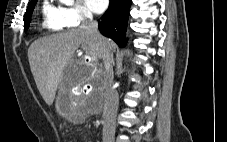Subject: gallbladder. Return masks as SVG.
Returning a JSON list of instances; mask_svg holds the SVG:
<instances>
[{"label":"gallbladder","mask_w":227,"mask_h":142,"mask_svg":"<svg viewBox=\"0 0 227 142\" xmlns=\"http://www.w3.org/2000/svg\"><path fill=\"white\" fill-rule=\"evenodd\" d=\"M73 93H60L56 101V108L60 113H73Z\"/></svg>","instance_id":"gallbladder-1"}]
</instances>
